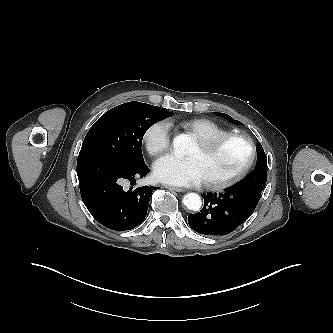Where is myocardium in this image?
<instances>
[{
  "label": "myocardium",
  "mask_w": 333,
  "mask_h": 333,
  "mask_svg": "<svg viewBox=\"0 0 333 333\" xmlns=\"http://www.w3.org/2000/svg\"><path fill=\"white\" fill-rule=\"evenodd\" d=\"M232 140L239 141L245 146L247 152L246 159L242 166L228 177L215 181L204 180V185L209 189L222 190L232 186L233 184L241 180L248 173L254 163L256 155L255 147L248 136L238 133H226L209 139H199L196 142L201 150L208 152Z\"/></svg>",
  "instance_id": "1"
}]
</instances>
